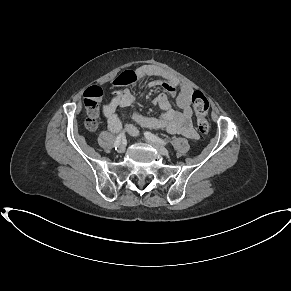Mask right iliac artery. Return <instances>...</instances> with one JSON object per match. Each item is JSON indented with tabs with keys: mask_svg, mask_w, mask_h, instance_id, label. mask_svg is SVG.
Listing matches in <instances>:
<instances>
[{
	"mask_svg": "<svg viewBox=\"0 0 291 291\" xmlns=\"http://www.w3.org/2000/svg\"><path fill=\"white\" fill-rule=\"evenodd\" d=\"M124 137H125L124 132H121V133L117 136V138H116V140H115V143H114L115 150H117L118 146H119L120 143H121V140H122Z\"/></svg>",
	"mask_w": 291,
	"mask_h": 291,
	"instance_id": "obj_1",
	"label": "right iliac artery"
}]
</instances>
